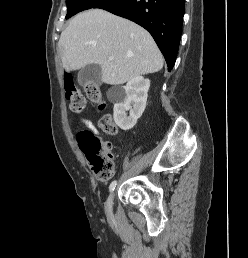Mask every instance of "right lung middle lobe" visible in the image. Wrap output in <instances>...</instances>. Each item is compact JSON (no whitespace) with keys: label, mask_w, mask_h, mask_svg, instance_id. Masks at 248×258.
<instances>
[{"label":"right lung middle lobe","mask_w":248,"mask_h":258,"mask_svg":"<svg viewBox=\"0 0 248 258\" xmlns=\"http://www.w3.org/2000/svg\"><path fill=\"white\" fill-rule=\"evenodd\" d=\"M110 0H66L67 15L66 19L71 16L90 8H97L101 4L109 2Z\"/></svg>","instance_id":"dd1d6c3e"}]
</instances>
